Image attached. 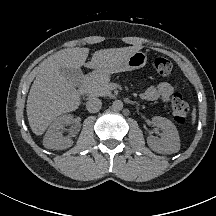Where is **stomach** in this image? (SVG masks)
<instances>
[{"label": "stomach", "mask_w": 216, "mask_h": 216, "mask_svg": "<svg viewBox=\"0 0 216 216\" xmlns=\"http://www.w3.org/2000/svg\"><path fill=\"white\" fill-rule=\"evenodd\" d=\"M146 63L147 55L143 52L137 51L116 65L96 69L93 72V76L98 77L118 72L132 71L144 67Z\"/></svg>", "instance_id": "stomach-1"}]
</instances>
